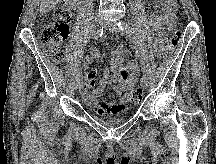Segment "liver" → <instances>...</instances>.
I'll return each mask as SVG.
<instances>
[{
    "label": "liver",
    "instance_id": "1",
    "mask_svg": "<svg viewBox=\"0 0 216 164\" xmlns=\"http://www.w3.org/2000/svg\"><path fill=\"white\" fill-rule=\"evenodd\" d=\"M61 0H40V13L43 15L55 8Z\"/></svg>",
    "mask_w": 216,
    "mask_h": 164
}]
</instances>
